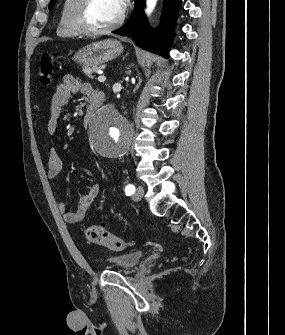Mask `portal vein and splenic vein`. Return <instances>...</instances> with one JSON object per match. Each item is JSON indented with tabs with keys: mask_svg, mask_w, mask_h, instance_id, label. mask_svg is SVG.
<instances>
[{
	"mask_svg": "<svg viewBox=\"0 0 285 335\" xmlns=\"http://www.w3.org/2000/svg\"><path fill=\"white\" fill-rule=\"evenodd\" d=\"M97 74H104V72H100V70H96ZM105 76H98V82H105Z\"/></svg>",
	"mask_w": 285,
	"mask_h": 335,
	"instance_id": "18ae733b",
	"label": "portal vein and splenic vein"
}]
</instances>
